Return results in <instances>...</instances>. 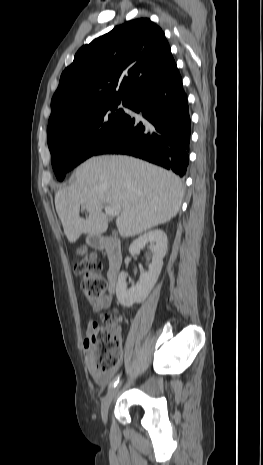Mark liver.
I'll return each instance as SVG.
<instances>
[{
	"label": "liver",
	"mask_w": 263,
	"mask_h": 465,
	"mask_svg": "<svg viewBox=\"0 0 263 465\" xmlns=\"http://www.w3.org/2000/svg\"><path fill=\"white\" fill-rule=\"evenodd\" d=\"M73 184L55 195V207L70 243L82 233L99 236L108 228L103 205L120 206L116 226L133 237L170 221L184 195L181 179L146 161L124 155L92 157L79 165ZM80 205L87 209L80 217Z\"/></svg>",
	"instance_id": "obj_1"
}]
</instances>
